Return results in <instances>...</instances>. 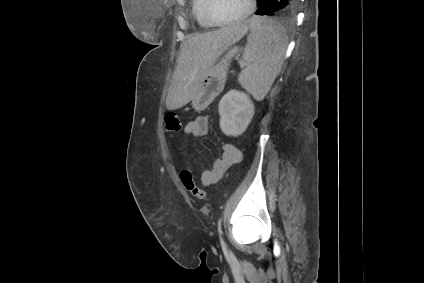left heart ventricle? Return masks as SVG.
<instances>
[{"label": "left heart ventricle", "instance_id": "b2bd125f", "mask_svg": "<svg viewBox=\"0 0 424 283\" xmlns=\"http://www.w3.org/2000/svg\"><path fill=\"white\" fill-rule=\"evenodd\" d=\"M248 8V0H214L212 12L219 20H232Z\"/></svg>", "mask_w": 424, "mask_h": 283}]
</instances>
